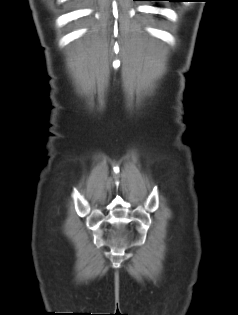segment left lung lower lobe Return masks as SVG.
<instances>
[{"mask_svg":"<svg viewBox=\"0 0 238 315\" xmlns=\"http://www.w3.org/2000/svg\"><path fill=\"white\" fill-rule=\"evenodd\" d=\"M152 1H171V0H152Z\"/></svg>","mask_w":238,"mask_h":315,"instance_id":"0a47b994","label":"left lung lower lobe"}]
</instances>
